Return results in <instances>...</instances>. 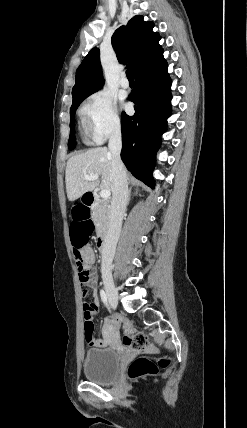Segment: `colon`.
Returning a JSON list of instances; mask_svg holds the SVG:
<instances>
[{"label": "colon", "mask_w": 247, "mask_h": 428, "mask_svg": "<svg viewBox=\"0 0 247 428\" xmlns=\"http://www.w3.org/2000/svg\"><path fill=\"white\" fill-rule=\"evenodd\" d=\"M69 238L70 246L73 247V254L76 259L81 284H85L90 279V267L82 257L81 247H85L86 240L92 238L94 231L93 217H89V204H70L69 205ZM117 322L125 331L123 343L126 347L133 350H146L150 347L148 336L143 332H134L131 322L122 317H116ZM94 323L92 321L91 308L84 304V335L87 343L94 339ZM170 360L161 358L153 362L146 357H138L131 362L128 367V378L133 380L146 375H153L158 369L168 366Z\"/></svg>", "instance_id": "obj_1"}]
</instances>
